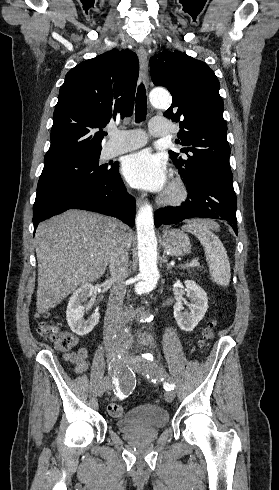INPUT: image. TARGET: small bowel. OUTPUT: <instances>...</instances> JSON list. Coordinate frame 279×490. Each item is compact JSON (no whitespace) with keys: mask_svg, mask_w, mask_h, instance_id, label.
Masks as SVG:
<instances>
[{"mask_svg":"<svg viewBox=\"0 0 279 490\" xmlns=\"http://www.w3.org/2000/svg\"><path fill=\"white\" fill-rule=\"evenodd\" d=\"M88 352L84 348L64 354V359L74 365L76 373H83L88 369Z\"/></svg>","mask_w":279,"mask_h":490,"instance_id":"obj_1","label":"small bowel"}]
</instances>
